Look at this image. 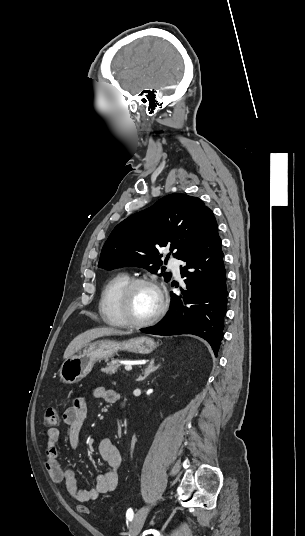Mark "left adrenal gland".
I'll return each mask as SVG.
<instances>
[{
  "instance_id": "left-adrenal-gland-1",
  "label": "left adrenal gland",
  "mask_w": 305,
  "mask_h": 536,
  "mask_svg": "<svg viewBox=\"0 0 305 536\" xmlns=\"http://www.w3.org/2000/svg\"><path fill=\"white\" fill-rule=\"evenodd\" d=\"M154 360H155V358H153V360H151L148 368H146V370H144V372H142L143 376H139L138 382H141V380H145V378H147V376H149V374H152V372H155V370H158L159 364H158V366H154Z\"/></svg>"
}]
</instances>
